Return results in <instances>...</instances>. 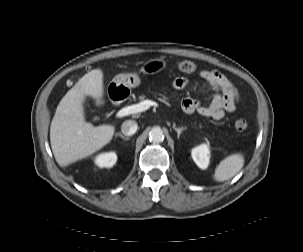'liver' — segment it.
<instances>
[{
    "mask_svg": "<svg viewBox=\"0 0 303 252\" xmlns=\"http://www.w3.org/2000/svg\"><path fill=\"white\" fill-rule=\"evenodd\" d=\"M103 94V71L93 69L80 78L60 101L51 122L50 142L55 160L61 167L91 156L111 141L114 126L94 127L85 120L83 103L86 96L101 106Z\"/></svg>",
    "mask_w": 303,
    "mask_h": 252,
    "instance_id": "liver-1",
    "label": "liver"
}]
</instances>
